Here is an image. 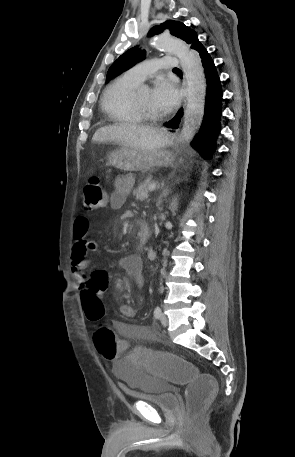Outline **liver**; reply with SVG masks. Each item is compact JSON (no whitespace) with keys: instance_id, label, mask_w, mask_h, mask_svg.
<instances>
[{"instance_id":"obj_1","label":"liver","mask_w":295,"mask_h":457,"mask_svg":"<svg viewBox=\"0 0 295 457\" xmlns=\"http://www.w3.org/2000/svg\"><path fill=\"white\" fill-rule=\"evenodd\" d=\"M94 143L113 142L138 151H153L168 144L165 130L132 123H118L99 128L93 135Z\"/></svg>"}]
</instances>
